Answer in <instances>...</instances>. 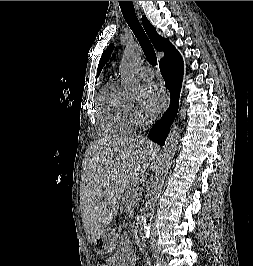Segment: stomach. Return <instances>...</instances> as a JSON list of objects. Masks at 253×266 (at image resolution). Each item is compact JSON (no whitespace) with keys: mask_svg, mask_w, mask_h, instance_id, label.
<instances>
[{"mask_svg":"<svg viewBox=\"0 0 253 266\" xmlns=\"http://www.w3.org/2000/svg\"><path fill=\"white\" fill-rule=\"evenodd\" d=\"M117 237L115 229H104L94 242V250L100 255L109 254L115 247Z\"/></svg>","mask_w":253,"mask_h":266,"instance_id":"1","label":"stomach"}]
</instances>
